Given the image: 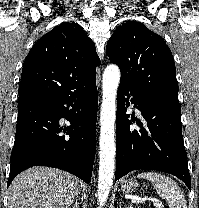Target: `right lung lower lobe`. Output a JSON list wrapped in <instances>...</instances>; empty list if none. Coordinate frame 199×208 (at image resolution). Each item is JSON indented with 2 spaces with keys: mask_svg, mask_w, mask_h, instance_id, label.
<instances>
[{
  "mask_svg": "<svg viewBox=\"0 0 199 208\" xmlns=\"http://www.w3.org/2000/svg\"><path fill=\"white\" fill-rule=\"evenodd\" d=\"M96 79L82 89L18 108L7 186L23 170L48 166L91 180L96 151ZM66 118L69 126H59ZM66 135H59L60 132Z\"/></svg>",
  "mask_w": 199,
  "mask_h": 208,
  "instance_id": "1",
  "label": "right lung lower lobe"
}]
</instances>
